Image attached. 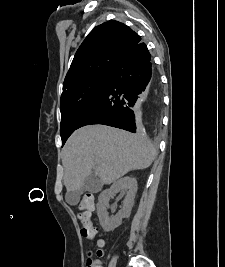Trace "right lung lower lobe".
I'll use <instances>...</instances> for the list:
<instances>
[{
    "mask_svg": "<svg viewBox=\"0 0 225 267\" xmlns=\"http://www.w3.org/2000/svg\"><path fill=\"white\" fill-rule=\"evenodd\" d=\"M152 87L158 90V78L150 52L146 44L140 42L121 55L100 96L77 129L90 124H104L135 133L134 105Z\"/></svg>",
    "mask_w": 225,
    "mask_h": 267,
    "instance_id": "obj_1",
    "label": "right lung lower lobe"
}]
</instances>
